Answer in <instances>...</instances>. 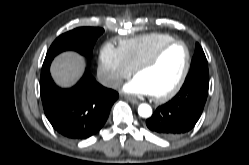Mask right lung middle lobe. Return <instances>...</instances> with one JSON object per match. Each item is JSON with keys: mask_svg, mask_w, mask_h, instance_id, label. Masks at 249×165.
<instances>
[{"mask_svg": "<svg viewBox=\"0 0 249 165\" xmlns=\"http://www.w3.org/2000/svg\"><path fill=\"white\" fill-rule=\"evenodd\" d=\"M104 32L102 28L80 27L60 35L50 46L46 59L54 58L60 52L74 50L90 58L97 38Z\"/></svg>", "mask_w": 249, "mask_h": 165, "instance_id": "1", "label": "right lung middle lobe"}]
</instances>
